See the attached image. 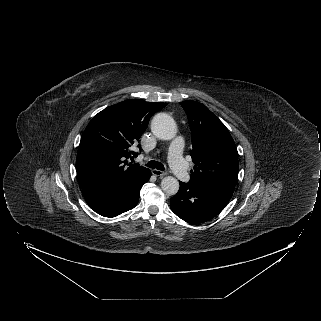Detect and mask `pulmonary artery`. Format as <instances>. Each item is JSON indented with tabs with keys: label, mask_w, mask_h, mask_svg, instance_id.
<instances>
[{
	"label": "pulmonary artery",
	"mask_w": 321,
	"mask_h": 321,
	"mask_svg": "<svg viewBox=\"0 0 321 321\" xmlns=\"http://www.w3.org/2000/svg\"><path fill=\"white\" fill-rule=\"evenodd\" d=\"M184 141L178 137L173 140L169 148L168 161L174 174L184 183L190 181V174L186 169L185 161L182 157Z\"/></svg>",
	"instance_id": "pulmonary-artery-1"
}]
</instances>
